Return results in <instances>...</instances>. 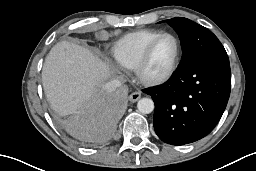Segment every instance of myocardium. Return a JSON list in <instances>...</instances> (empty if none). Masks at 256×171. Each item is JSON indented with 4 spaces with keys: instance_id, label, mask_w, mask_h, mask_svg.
<instances>
[{
    "instance_id": "myocardium-1",
    "label": "myocardium",
    "mask_w": 256,
    "mask_h": 171,
    "mask_svg": "<svg viewBox=\"0 0 256 171\" xmlns=\"http://www.w3.org/2000/svg\"><path fill=\"white\" fill-rule=\"evenodd\" d=\"M164 37H171L176 45V52L174 56V60L172 62L171 67L169 70L163 74L162 76L156 77V78H148L144 74V69L145 66L151 56V53L157 44L159 40H161ZM180 58H181V45L179 39L172 33L169 32H163L156 37H154L144 48L140 58L138 59L133 71L136 79L144 86L148 87H154V86H159L164 83H166L168 80H170L173 75L175 74L179 63H180Z\"/></svg>"
}]
</instances>
